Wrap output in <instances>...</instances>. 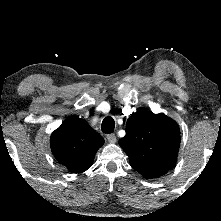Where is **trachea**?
I'll use <instances>...</instances> for the list:
<instances>
[{
	"instance_id": "1",
	"label": "trachea",
	"mask_w": 221,
	"mask_h": 221,
	"mask_svg": "<svg viewBox=\"0 0 221 221\" xmlns=\"http://www.w3.org/2000/svg\"><path fill=\"white\" fill-rule=\"evenodd\" d=\"M115 128V121L112 117L108 116L102 121V132L103 133H112Z\"/></svg>"
}]
</instances>
